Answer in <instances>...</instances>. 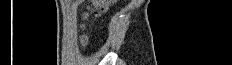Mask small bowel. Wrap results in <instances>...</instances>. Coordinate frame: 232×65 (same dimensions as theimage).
<instances>
[{"label": "small bowel", "instance_id": "obj_1", "mask_svg": "<svg viewBox=\"0 0 232 65\" xmlns=\"http://www.w3.org/2000/svg\"><path fill=\"white\" fill-rule=\"evenodd\" d=\"M81 42H82L83 45H85L86 42H87V37L86 36H82L81 37Z\"/></svg>", "mask_w": 232, "mask_h": 65}]
</instances>
